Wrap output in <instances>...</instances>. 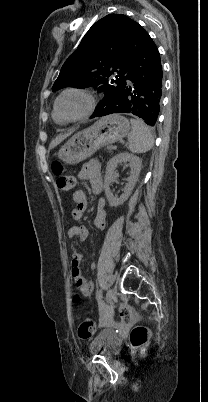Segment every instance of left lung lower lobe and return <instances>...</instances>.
Here are the masks:
<instances>
[{
	"instance_id": "left-lung-lower-lobe-1",
	"label": "left lung lower lobe",
	"mask_w": 208,
	"mask_h": 402,
	"mask_svg": "<svg viewBox=\"0 0 208 402\" xmlns=\"http://www.w3.org/2000/svg\"><path fill=\"white\" fill-rule=\"evenodd\" d=\"M127 64V73L114 98L92 118L129 113L154 126L162 101L163 70L157 46L137 22L127 47Z\"/></svg>"
}]
</instances>
